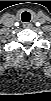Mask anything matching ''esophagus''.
Here are the masks:
<instances>
[{"label":"esophagus","instance_id":"esophagus-1","mask_svg":"<svg viewBox=\"0 0 51 101\" xmlns=\"http://www.w3.org/2000/svg\"><path fill=\"white\" fill-rule=\"evenodd\" d=\"M23 27L26 29L32 28V24L31 23H24Z\"/></svg>","mask_w":51,"mask_h":101}]
</instances>
